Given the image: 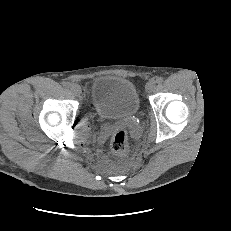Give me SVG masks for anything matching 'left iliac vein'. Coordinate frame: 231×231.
<instances>
[{
    "instance_id": "obj_1",
    "label": "left iliac vein",
    "mask_w": 231,
    "mask_h": 231,
    "mask_svg": "<svg viewBox=\"0 0 231 231\" xmlns=\"http://www.w3.org/2000/svg\"><path fill=\"white\" fill-rule=\"evenodd\" d=\"M155 87H156V82L154 80H149L146 83L145 90L147 93H151Z\"/></svg>"
}]
</instances>
